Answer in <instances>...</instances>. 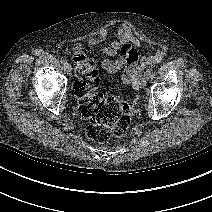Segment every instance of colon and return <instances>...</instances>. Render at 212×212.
Here are the masks:
<instances>
[{
  "instance_id": "colon-1",
  "label": "colon",
  "mask_w": 212,
  "mask_h": 212,
  "mask_svg": "<svg viewBox=\"0 0 212 212\" xmlns=\"http://www.w3.org/2000/svg\"><path fill=\"white\" fill-rule=\"evenodd\" d=\"M76 81L79 97V115L89 121L86 135L96 142H106L123 136L131 123L128 102L106 97L97 91L98 74L95 62L82 52L74 55Z\"/></svg>"
}]
</instances>
